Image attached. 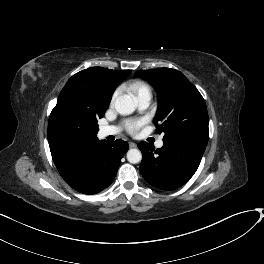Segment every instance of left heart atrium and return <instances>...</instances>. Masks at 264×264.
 I'll use <instances>...</instances> for the list:
<instances>
[{"label":"left heart atrium","instance_id":"1","mask_svg":"<svg viewBox=\"0 0 264 264\" xmlns=\"http://www.w3.org/2000/svg\"><path fill=\"white\" fill-rule=\"evenodd\" d=\"M143 124H144L143 120L128 121L126 122V127L130 133H135Z\"/></svg>","mask_w":264,"mask_h":264}]
</instances>
